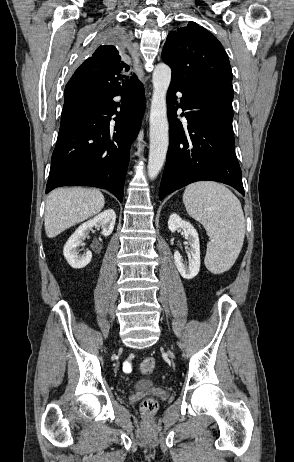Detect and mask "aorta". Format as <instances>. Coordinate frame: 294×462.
I'll return each instance as SVG.
<instances>
[{
    "instance_id": "obj_1",
    "label": "aorta",
    "mask_w": 294,
    "mask_h": 462,
    "mask_svg": "<svg viewBox=\"0 0 294 462\" xmlns=\"http://www.w3.org/2000/svg\"><path fill=\"white\" fill-rule=\"evenodd\" d=\"M171 81L168 65H156L153 76V95L150 108V149L148 176L155 179L161 171L169 146V125L167 119L166 94Z\"/></svg>"
}]
</instances>
